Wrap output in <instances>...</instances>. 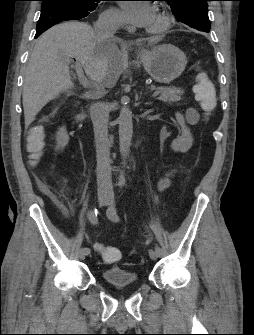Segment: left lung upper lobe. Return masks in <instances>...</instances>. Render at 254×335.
<instances>
[{"label":"left lung upper lobe","instance_id":"5c2ea615","mask_svg":"<svg viewBox=\"0 0 254 335\" xmlns=\"http://www.w3.org/2000/svg\"><path fill=\"white\" fill-rule=\"evenodd\" d=\"M175 17L191 28L209 32L208 4L210 0H165Z\"/></svg>","mask_w":254,"mask_h":335}]
</instances>
